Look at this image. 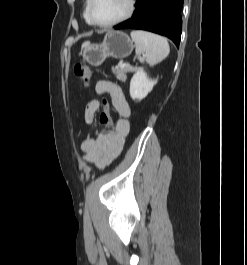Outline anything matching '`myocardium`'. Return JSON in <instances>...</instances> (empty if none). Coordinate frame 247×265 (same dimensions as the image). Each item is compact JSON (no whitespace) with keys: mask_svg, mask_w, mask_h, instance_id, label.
Returning a JSON list of instances; mask_svg holds the SVG:
<instances>
[{"mask_svg":"<svg viewBox=\"0 0 247 265\" xmlns=\"http://www.w3.org/2000/svg\"><path fill=\"white\" fill-rule=\"evenodd\" d=\"M93 3H94V0H88L87 16H88V19L92 25L100 27V28H111V27H115L117 25H120V24L126 22L127 20H129L133 16L135 9H136V5H137L136 0H128L127 10L122 16H120L117 19L110 21L108 23H100V22H97L93 18V15H92Z\"/></svg>","mask_w":247,"mask_h":265,"instance_id":"1","label":"myocardium"}]
</instances>
